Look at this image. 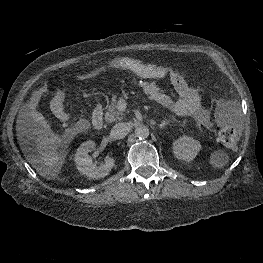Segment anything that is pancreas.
Wrapping results in <instances>:
<instances>
[{
    "mask_svg": "<svg viewBox=\"0 0 263 263\" xmlns=\"http://www.w3.org/2000/svg\"><path fill=\"white\" fill-rule=\"evenodd\" d=\"M116 99L117 97L113 96L112 101L107 106V111L105 113V120L108 122H114L120 119L121 112L117 110Z\"/></svg>",
    "mask_w": 263,
    "mask_h": 263,
    "instance_id": "1",
    "label": "pancreas"
}]
</instances>
